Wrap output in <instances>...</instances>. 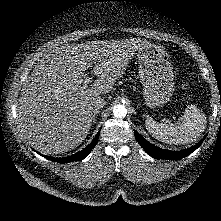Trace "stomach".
I'll list each match as a JSON object with an SVG mask.
<instances>
[{"label":"stomach","instance_id":"0dacf381","mask_svg":"<svg viewBox=\"0 0 221 221\" xmlns=\"http://www.w3.org/2000/svg\"><path fill=\"white\" fill-rule=\"evenodd\" d=\"M162 49L145 45L139 49V77L143 85L144 104L155 109L167 103L174 92L171 63Z\"/></svg>","mask_w":221,"mask_h":221}]
</instances>
